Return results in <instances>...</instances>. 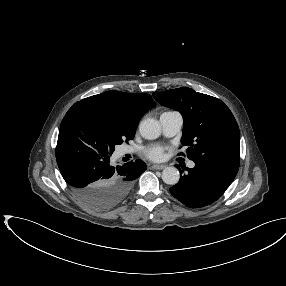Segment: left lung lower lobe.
I'll return each mask as SVG.
<instances>
[{
    "mask_svg": "<svg viewBox=\"0 0 286 286\" xmlns=\"http://www.w3.org/2000/svg\"><path fill=\"white\" fill-rule=\"evenodd\" d=\"M179 182L170 188L171 194L191 208L207 206L215 202L229 187L237 172L213 163H195Z\"/></svg>",
    "mask_w": 286,
    "mask_h": 286,
    "instance_id": "0a47b994",
    "label": "left lung lower lobe"
}]
</instances>
